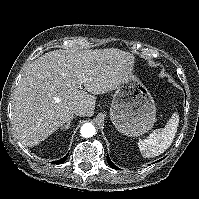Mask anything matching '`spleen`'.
I'll list each match as a JSON object with an SVG mask.
<instances>
[{
  "label": "spleen",
  "mask_w": 199,
  "mask_h": 199,
  "mask_svg": "<svg viewBox=\"0 0 199 199\" xmlns=\"http://www.w3.org/2000/svg\"><path fill=\"white\" fill-rule=\"evenodd\" d=\"M179 124L178 113H173L162 129L154 130L148 138L138 143L144 158H153L164 153L172 144Z\"/></svg>",
  "instance_id": "spleen-1"
}]
</instances>
